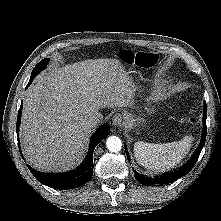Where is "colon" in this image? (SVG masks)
<instances>
[{"label": "colon", "instance_id": "colon-1", "mask_svg": "<svg viewBox=\"0 0 221 221\" xmlns=\"http://www.w3.org/2000/svg\"><path fill=\"white\" fill-rule=\"evenodd\" d=\"M121 59L126 63L136 64L137 66L144 67V68L153 66L157 61V58L154 54L143 53V52L135 54L130 51H123L121 53ZM187 122L190 124H194L195 119L189 118L187 119Z\"/></svg>", "mask_w": 221, "mask_h": 221}]
</instances>
